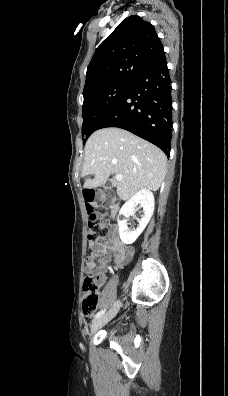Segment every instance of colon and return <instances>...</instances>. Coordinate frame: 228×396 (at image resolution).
<instances>
[{
  "label": "colon",
  "mask_w": 228,
  "mask_h": 396,
  "mask_svg": "<svg viewBox=\"0 0 228 396\" xmlns=\"http://www.w3.org/2000/svg\"><path fill=\"white\" fill-rule=\"evenodd\" d=\"M86 211L89 217L88 240L90 243H99L105 236L107 224L97 212V208H106L109 205L108 197L95 190H87L84 194ZM99 290L97 279L88 275L83 281L82 313L92 315L98 308Z\"/></svg>",
  "instance_id": "colon-1"
}]
</instances>
